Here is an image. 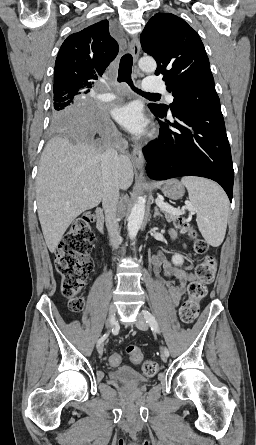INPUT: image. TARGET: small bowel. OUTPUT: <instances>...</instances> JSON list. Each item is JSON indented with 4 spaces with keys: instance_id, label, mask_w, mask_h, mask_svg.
Returning <instances> with one entry per match:
<instances>
[{
    "instance_id": "c3829d8e",
    "label": "small bowel",
    "mask_w": 256,
    "mask_h": 445,
    "mask_svg": "<svg viewBox=\"0 0 256 445\" xmlns=\"http://www.w3.org/2000/svg\"><path fill=\"white\" fill-rule=\"evenodd\" d=\"M152 264L156 271L160 267L163 268L165 279L162 282L170 295L173 305H178L185 293L187 284L195 279V275L184 268L172 265L164 253L154 255Z\"/></svg>"
}]
</instances>
